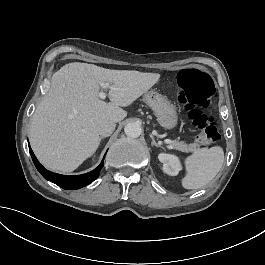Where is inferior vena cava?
<instances>
[{
    "mask_svg": "<svg viewBox=\"0 0 265 265\" xmlns=\"http://www.w3.org/2000/svg\"><path fill=\"white\" fill-rule=\"evenodd\" d=\"M115 122L106 120V119H100L98 121V132L101 136H110L113 131L115 130Z\"/></svg>",
    "mask_w": 265,
    "mask_h": 265,
    "instance_id": "obj_1",
    "label": "inferior vena cava"
}]
</instances>
